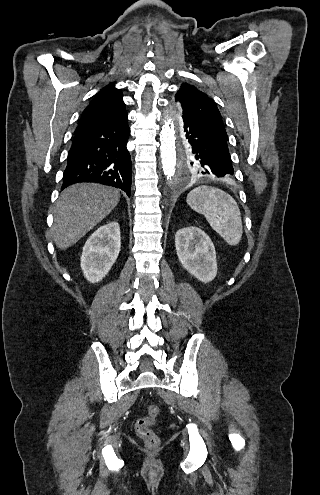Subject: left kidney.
Listing matches in <instances>:
<instances>
[{"label":"left kidney","instance_id":"left-kidney-1","mask_svg":"<svg viewBox=\"0 0 320 495\" xmlns=\"http://www.w3.org/2000/svg\"><path fill=\"white\" fill-rule=\"evenodd\" d=\"M178 259L183 268L201 282L212 281L217 274V260L211 239L197 227L180 229L175 235Z\"/></svg>","mask_w":320,"mask_h":495}]
</instances>
